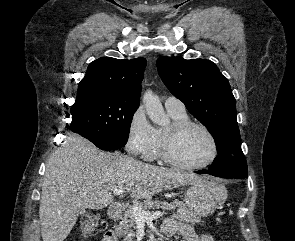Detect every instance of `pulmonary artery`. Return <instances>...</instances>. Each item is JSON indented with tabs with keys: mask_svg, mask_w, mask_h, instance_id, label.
I'll return each mask as SVG.
<instances>
[{
	"mask_svg": "<svg viewBox=\"0 0 295 241\" xmlns=\"http://www.w3.org/2000/svg\"><path fill=\"white\" fill-rule=\"evenodd\" d=\"M165 107L169 111H175V112H181V113L186 112L183 102L174 96H170L166 98Z\"/></svg>",
	"mask_w": 295,
	"mask_h": 241,
	"instance_id": "obj_1",
	"label": "pulmonary artery"
}]
</instances>
